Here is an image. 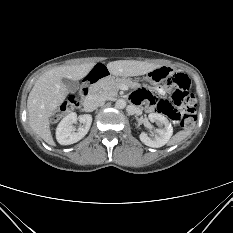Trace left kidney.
Returning <instances> with one entry per match:
<instances>
[{
	"label": "left kidney",
	"instance_id": "obj_1",
	"mask_svg": "<svg viewBox=\"0 0 233 233\" xmlns=\"http://www.w3.org/2000/svg\"><path fill=\"white\" fill-rule=\"evenodd\" d=\"M148 118L151 122H156L159 129H156L157 135L150 138L145 132L139 135L142 143L149 147L159 148L167 144L173 134V127L166 117L159 113H150Z\"/></svg>",
	"mask_w": 233,
	"mask_h": 233
}]
</instances>
